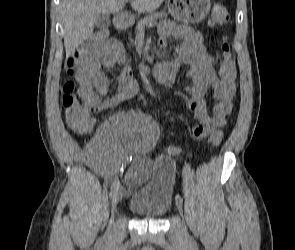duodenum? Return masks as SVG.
I'll return each instance as SVG.
<instances>
[{
  "label": "duodenum",
  "mask_w": 295,
  "mask_h": 250,
  "mask_svg": "<svg viewBox=\"0 0 295 250\" xmlns=\"http://www.w3.org/2000/svg\"><path fill=\"white\" fill-rule=\"evenodd\" d=\"M129 22V13L122 11L114 16V25L117 29H125Z\"/></svg>",
  "instance_id": "1"
}]
</instances>
